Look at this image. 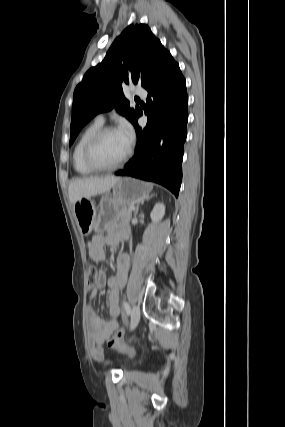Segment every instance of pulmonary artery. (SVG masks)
<instances>
[{"instance_id": "e3ab8cb5", "label": "pulmonary artery", "mask_w": 285, "mask_h": 427, "mask_svg": "<svg viewBox=\"0 0 285 427\" xmlns=\"http://www.w3.org/2000/svg\"><path fill=\"white\" fill-rule=\"evenodd\" d=\"M133 94L136 95L137 97L145 98L147 96V91L142 86H135L133 90ZM95 120L103 123L105 120L104 114H98Z\"/></svg>"}]
</instances>
